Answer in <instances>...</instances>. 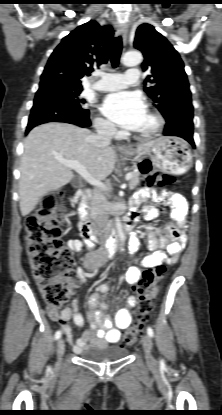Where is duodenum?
I'll list each match as a JSON object with an SVG mask.
<instances>
[{
  "label": "duodenum",
  "mask_w": 222,
  "mask_h": 415,
  "mask_svg": "<svg viewBox=\"0 0 222 415\" xmlns=\"http://www.w3.org/2000/svg\"><path fill=\"white\" fill-rule=\"evenodd\" d=\"M79 190L83 193V198L79 205V214L82 218L81 223H80V229L82 233L84 234L86 241L89 244H93L96 240V234L88 219L89 217V204H88L89 193L83 187H80ZM133 224H134V219L128 216L123 220L122 227L124 231H129L132 228ZM117 240H118V233L115 231L108 234L105 237L106 244L111 251L115 249Z\"/></svg>",
  "instance_id": "1"
}]
</instances>
